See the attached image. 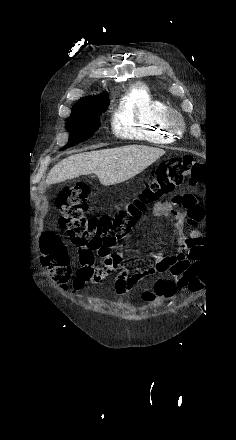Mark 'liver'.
Masks as SVG:
<instances>
[{"mask_svg": "<svg viewBox=\"0 0 236 440\" xmlns=\"http://www.w3.org/2000/svg\"><path fill=\"white\" fill-rule=\"evenodd\" d=\"M163 149L127 145L71 155L48 173L46 184L60 183L94 173L104 186L122 183L145 170L162 155Z\"/></svg>", "mask_w": 236, "mask_h": 440, "instance_id": "liver-1", "label": "liver"}]
</instances>
